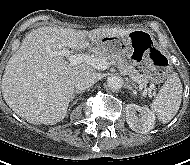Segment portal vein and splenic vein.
Returning a JSON list of instances; mask_svg holds the SVG:
<instances>
[{
  "instance_id": "18ae733b",
  "label": "portal vein and splenic vein",
  "mask_w": 190,
  "mask_h": 165,
  "mask_svg": "<svg viewBox=\"0 0 190 165\" xmlns=\"http://www.w3.org/2000/svg\"><path fill=\"white\" fill-rule=\"evenodd\" d=\"M58 55L64 56L68 59L71 66L78 65L80 63H86L87 65L95 69H108L110 64L105 60H100L93 56L87 54H74L72 55L68 49H63L57 53ZM140 88H143V85H140Z\"/></svg>"
}]
</instances>
